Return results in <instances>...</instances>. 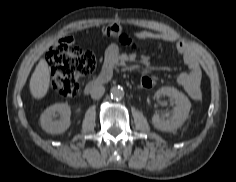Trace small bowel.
<instances>
[{"mask_svg": "<svg viewBox=\"0 0 236 182\" xmlns=\"http://www.w3.org/2000/svg\"><path fill=\"white\" fill-rule=\"evenodd\" d=\"M114 28L122 32L119 26L114 25ZM137 38L140 40H161L174 43L177 53L182 57L184 63L188 67L186 72L180 73L176 77V82L184 89L191 99H201L202 70L197 55L189 46L169 32L155 33L140 31L137 33ZM66 39L72 43L71 37H66Z\"/></svg>", "mask_w": 236, "mask_h": 182, "instance_id": "1", "label": "small bowel"}]
</instances>
